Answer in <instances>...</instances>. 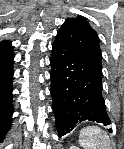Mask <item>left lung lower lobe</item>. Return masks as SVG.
<instances>
[{"mask_svg":"<svg viewBox=\"0 0 124 149\" xmlns=\"http://www.w3.org/2000/svg\"><path fill=\"white\" fill-rule=\"evenodd\" d=\"M50 65V92L59 137L83 121L110 125L102 95V69L58 33L52 45Z\"/></svg>","mask_w":124,"mask_h":149,"instance_id":"left-lung-lower-lobe-1","label":"left lung lower lobe"}]
</instances>
